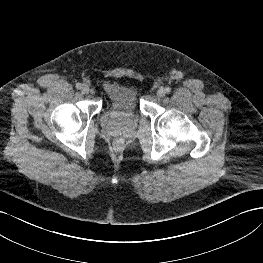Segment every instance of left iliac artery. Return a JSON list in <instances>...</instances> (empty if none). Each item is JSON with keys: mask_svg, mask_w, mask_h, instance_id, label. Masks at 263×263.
I'll use <instances>...</instances> for the list:
<instances>
[{"mask_svg": "<svg viewBox=\"0 0 263 263\" xmlns=\"http://www.w3.org/2000/svg\"><path fill=\"white\" fill-rule=\"evenodd\" d=\"M165 91H166V93H170L171 88H170V87H166V88H165Z\"/></svg>", "mask_w": 263, "mask_h": 263, "instance_id": "44dca946", "label": "left iliac artery"}]
</instances>
